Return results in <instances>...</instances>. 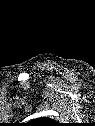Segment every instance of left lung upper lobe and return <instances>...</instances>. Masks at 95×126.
Returning a JSON list of instances; mask_svg holds the SVG:
<instances>
[{
    "instance_id": "5c2ea615",
    "label": "left lung upper lobe",
    "mask_w": 95,
    "mask_h": 126,
    "mask_svg": "<svg viewBox=\"0 0 95 126\" xmlns=\"http://www.w3.org/2000/svg\"><path fill=\"white\" fill-rule=\"evenodd\" d=\"M32 126H54V121L50 118H37L31 122Z\"/></svg>"
}]
</instances>
